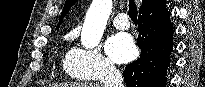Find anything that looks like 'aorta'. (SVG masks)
<instances>
[{"label": "aorta", "instance_id": "aorta-1", "mask_svg": "<svg viewBox=\"0 0 205 87\" xmlns=\"http://www.w3.org/2000/svg\"><path fill=\"white\" fill-rule=\"evenodd\" d=\"M112 0H93L81 32V43L87 49L95 48L103 36L112 10Z\"/></svg>", "mask_w": 205, "mask_h": 87}]
</instances>
